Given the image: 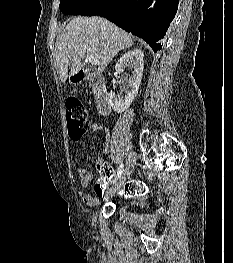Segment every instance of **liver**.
Wrapping results in <instances>:
<instances>
[{
	"instance_id": "liver-1",
	"label": "liver",
	"mask_w": 233,
	"mask_h": 263,
	"mask_svg": "<svg viewBox=\"0 0 233 263\" xmlns=\"http://www.w3.org/2000/svg\"><path fill=\"white\" fill-rule=\"evenodd\" d=\"M132 45V36L107 19L75 17L56 39L55 58L59 78L65 82L69 76L78 73L85 54L98 59V72L101 74L119 51Z\"/></svg>"
}]
</instances>
